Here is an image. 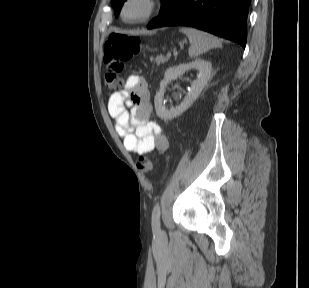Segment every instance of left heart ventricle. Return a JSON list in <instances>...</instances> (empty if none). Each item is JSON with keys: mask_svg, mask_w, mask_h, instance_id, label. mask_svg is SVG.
<instances>
[{"mask_svg": "<svg viewBox=\"0 0 309 288\" xmlns=\"http://www.w3.org/2000/svg\"><path fill=\"white\" fill-rule=\"evenodd\" d=\"M146 10V4L143 0H134L126 8L125 16L133 20L141 17Z\"/></svg>", "mask_w": 309, "mask_h": 288, "instance_id": "b2bd125f", "label": "left heart ventricle"}]
</instances>
